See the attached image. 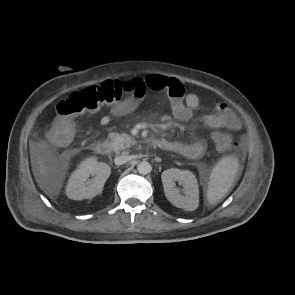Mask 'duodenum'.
<instances>
[{
  "label": "duodenum",
  "instance_id": "1",
  "mask_svg": "<svg viewBox=\"0 0 295 295\" xmlns=\"http://www.w3.org/2000/svg\"><path fill=\"white\" fill-rule=\"evenodd\" d=\"M148 143L159 148L163 144L162 140L157 138H150L148 140ZM91 147L93 151L98 155L106 156L110 153V145L105 141H95L94 143H92Z\"/></svg>",
  "mask_w": 295,
  "mask_h": 295
}]
</instances>
